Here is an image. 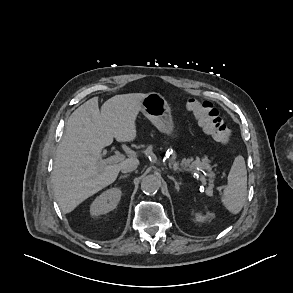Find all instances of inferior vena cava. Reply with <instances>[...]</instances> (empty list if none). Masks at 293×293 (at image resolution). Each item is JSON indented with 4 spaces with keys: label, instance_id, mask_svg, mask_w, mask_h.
<instances>
[{
    "label": "inferior vena cava",
    "instance_id": "obj_1",
    "mask_svg": "<svg viewBox=\"0 0 293 293\" xmlns=\"http://www.w3.org/2000/svg\"><path fill=\"white\" fill-rule=\"evenodd\" d=\"M138 162L135 160L127 161L121 165V172L122 173H129L137 169Z\"/></svg>",
    "mask_w": 293,
    "mask_h": 293
}]
</instances>
